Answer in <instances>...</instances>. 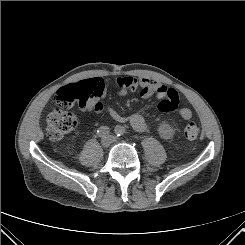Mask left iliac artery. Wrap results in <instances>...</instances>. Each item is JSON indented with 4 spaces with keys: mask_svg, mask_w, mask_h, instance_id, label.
<instances>
[{
    "mask_svg": "<svg viewBox=\"0 0 245 245\" xmlns=\"http://www.w3.org/2000/svg\"><path fill=\"white\" fill-rule=\"evenodd\" d=\"M114 131L117 136H123L126 133L125 128L122 126H117Z\"/></svg>",
    "mask_w": 245,
    "mask_h": 245,
    "instance_id": "1",
    "label": "left iliac artery"
}]
</instances>
